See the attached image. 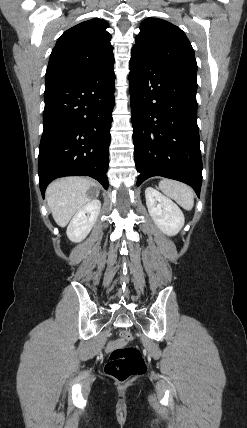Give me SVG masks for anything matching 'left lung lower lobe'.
I'll use <instances>...</instances> for the list:
<instances>
[{
	"label": "left lung lower lobe",
	"mask_w": 247,
	"mask_h": 428,
	"mask_svg": "<svg viewBox=\"0 0 247 428\" xmlns=\"http://www.w3.org/2000/svg\"><path fill=\"white\" fill-rule=\"evenodd\" d=\"M129 68L137 186L149 177L163 176L190 185L199 197L197 83L133 54Z\"/></svg>",
	"instance_id": "1"
}]
</instances>
